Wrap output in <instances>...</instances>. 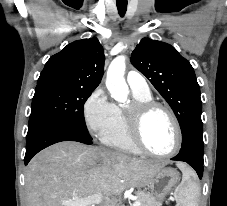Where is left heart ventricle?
I'll use <instances>...</instances> for the list:
<instances>
[{"label":"left heart ventricle","mask_w":227,"mask_h":206,"mask_svg":"<svg viewBox=\"0 0 227 206\" xmlns=\"http://www.w3.org/2000/svg\"><path fill=\"white\" fill-rule=\"evenodd\" d=\"M143 137L150 150L160 154L170 152L175 146L176 133L169 116L162 110L153 111L145 122Z\"/></svg>","instance_id":"obj_1"}]
</instances>
